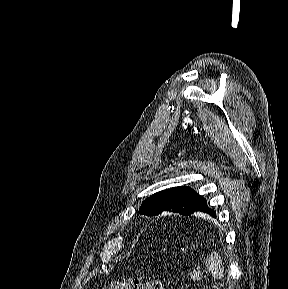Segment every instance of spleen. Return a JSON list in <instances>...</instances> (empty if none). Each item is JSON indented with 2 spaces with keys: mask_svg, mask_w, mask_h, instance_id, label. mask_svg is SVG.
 Here are the masks:
<instances>
[{
  "mask_svg": "<svg viewBox=\"0 0 288 289\" xmlns=\"http://www.w3.org/2000/svg\"><path fill=\"white\" fill-rule=\"evenodd\" d=\"M206 267L212 276L216 279L223 278L224 268L221 257L217 252H212L206 259Z\"/></svg>",
  "mask_w": 288,
  "mask_h": 289,
  "instance_id": "obj_1",
  "label": "spleen"
}]
</instances>
